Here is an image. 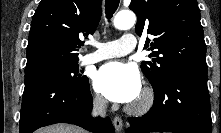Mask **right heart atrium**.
<instances>
[{
	"label": "right heart atrium",
	"instance_id": "d8ad5b80",
	"mask_svg": "<svg viewBox=\"0 0 221 133\" xmlns=\"http://www.w3.org/2000/svg\"><path fill=\"white\" fill-rule=\"evenodd\" d=\"M93 104L97 109H103L106 105L105 99L100 94L93 95Z\"/></svg>",
	"mask_w": 221,
	"mask_h": 133
}]
</instances>
